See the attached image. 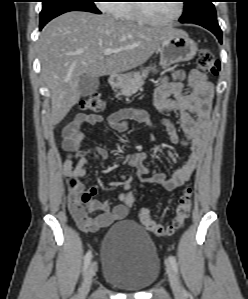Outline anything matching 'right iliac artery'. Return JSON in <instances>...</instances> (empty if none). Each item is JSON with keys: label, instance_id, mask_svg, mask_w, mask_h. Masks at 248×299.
<instances>
[{"label": "right iliac artery", "instance_id": "1", "mask_svg": "<svg viewBox=\"0 0 248 299\" xmlns=\"http://www.w3.org/2000/svg\"><path fill=\"white\" fill-rule=\"evenodd\" d=\"M91 257H92V253H91V251H88L84 258L83 272H85L87 270V268L90 264Z\"/></svg>", "mask_w": 248, "mask_h": 299}]
</instances>
